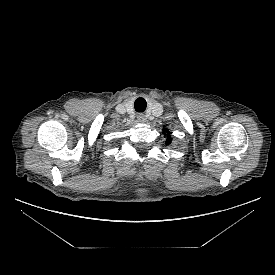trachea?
Wrapping results in <instances>:
<instances>
[{"label": "trachea", "mask_w": 275, "mask_h": 275, "mask_svg": "<svg viewBox=\"0 0 275 275\" xmlns=\"http://www.w3.org/2000/svg\"><path fill=\"white\" fill-rule=\"evenodd\" d=\"M134 107L137 112H144L147 107L146 100L142 97L137 98L134 102Z\"/></svg>", "instance_id": "3493384b"}]
</instances>
